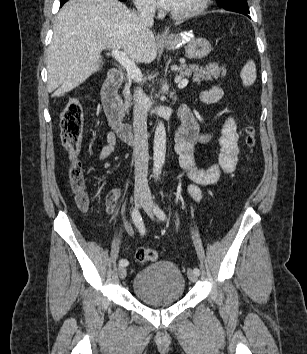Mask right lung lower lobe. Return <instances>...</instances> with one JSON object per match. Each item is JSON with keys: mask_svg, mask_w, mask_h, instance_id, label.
Segmentation results:
<instances>
[{"mask_svg": "<svg viewBox=\"0 0 307 354\" xmlns=\"http://www.w3.org/2000/svg\"><path fill=\"white\" fill-rule=\"evenodd\" d=\"M68 0H60V7ZM121 1V0H120Z\"/></svg>", "mask_w": 307, "mask_h": 354, "instance_id": "98d812e1", "label": "right lung lower lobe"}]
</instances>
